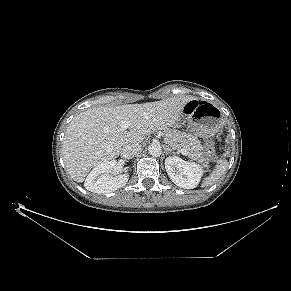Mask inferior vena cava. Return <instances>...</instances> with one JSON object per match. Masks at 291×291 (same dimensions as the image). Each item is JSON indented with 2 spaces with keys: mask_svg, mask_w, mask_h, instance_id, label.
I'll return each mask as SVG.
<instances>
[{
  "mask_svg": "<svg viewBox=\"0 0 291 291\" xmlns=\"http://www.w3.org/2000/svg\"><path fill=\"white\" fill-rule=\"evenodd\" d=\"M139 143L126 144L121 150V156L125 159H132L141 151Z\"/></svg>",
  "mask_w": 291,
  "mask_h": 291,
  "instance_id": "602c4592",
  "label": "inferior vena cava"
}]
</instances>
